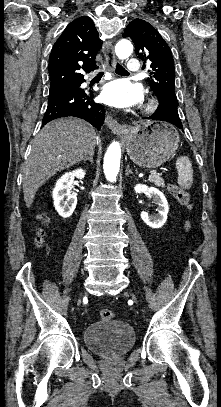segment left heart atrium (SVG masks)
Wrapping results in <instances>:
<instances>
[{"label":"left heart atrium","mask_w":221,"mask_h":407,"mask_svg":"<svg viewBox=\"0 0 221 407\" xmlns=\"http://www.w3.org/2000/svg\"><path fill=\"white\" fill-rule=\"evenodd\" d=\"M101 99L108 105L127 108L143 101V90L140 85L133 84L126 78H118L103 87Z\"/></svg>","instance_id":"left-heart-atrium-1"}]
</instances>
